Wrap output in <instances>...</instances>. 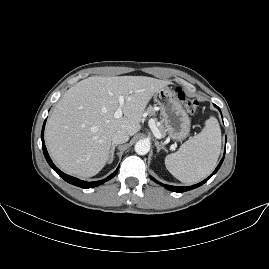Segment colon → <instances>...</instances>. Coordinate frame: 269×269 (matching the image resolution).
<instances>
[{
    "label": "colon",
    "instance_id": "1",
    "mask_svg": "<svg viewBox=\"0 0 269 269\" xmlns=\"http://www.w3.org/2000/svg\"><path fill=\"white\" fill-rule=\"evenodd\" d=\"M178 97L183 101L184 109L190 115H195L197 113L199 102L196 99L188 98L181 89L178 92Z\"/></svg>",
    "mask_w": 269,
    "mask_h": 269
}]
</instances>
